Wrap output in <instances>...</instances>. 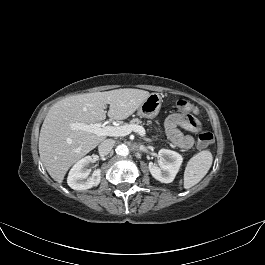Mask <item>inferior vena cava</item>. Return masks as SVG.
<instances>
[{"label":"inferior vena cava","mask_w":265,"mask_h":265,"mask_svg":"<svg viewBox=\"0 0 265 265\" xmlns=\"http://www.w3.org/2000/svg\"><path fill=\"white\" fill-rule=\"evenodd\" d=\"M115 141L113 139H106L98 146L99 154L104 156L110 153Z\"/></svg>","instance_id":"602c4592"}]
</instances>
